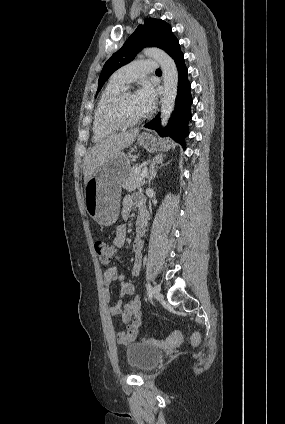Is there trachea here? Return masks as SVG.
Returning a JSON list of instances; mask_svg holds the SVG:
<instances>
[{
	"mask_svg": "<svg viewBox=\"0 0 285 424\" xmlns=\"http://www.w3.org/2000/svg\"><path fill=\"white\" fill-rule=\"evenodd\" d=\"M156 73H161V70H160V69H157V70H156Z\"/></svg>",
	"mask_w": 285,
	"mask_h": 424,
	"instance_id": "1",
	"label": "trachea"
}]
</instances>
